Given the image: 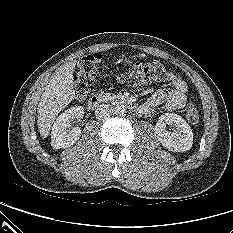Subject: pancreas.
Returning <instances> with one entry per match:
<instances>
[{
  "mask_svg": "<svg viewBox=\"0 0 233 233\" xmlns=\"http://www.w3.org/2000/svg\"><path fill=\"white\" fill-rule=\"evenodd\" d=\"M99 96L100 98L105 100L114 99L116 97L114 94L104 93V92L100 93Z\"/></svg>",
  "mask_w": 233,
  "mask_h": 233,
  "instance_id": "cf45deb5",
  "label": "pancreas"
}]
</instances>
